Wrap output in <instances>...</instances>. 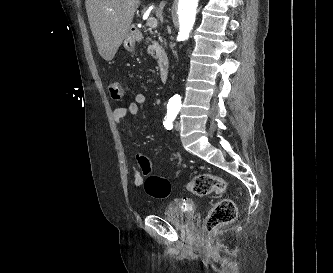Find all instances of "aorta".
<instances>
[{
    "mask_svg": "<svg viewBox=\"0 0 333 273\" xmlns=\"http://www.w3.org/2000/svg\"><path fill=\"white\" fill-rule=\"evenodd\" d=\"M199 0H179L178 2V18H179V33L178 37L185 41L189 38L190 32L196 19V12ZM180 96L175 95L170 102L179 104Z\"/></svg>",
    "mask_w": 333,
    "mask_h": 273,
    "instance_id": "aorta-1",
    "label": "aorta"
}]
</instances>
